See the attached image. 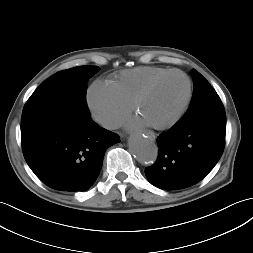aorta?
<instances>
[{
  "label": "aorta",
  "instance_id": "aorta-1",
  "mask_svg": "<svg viewBox=\"0 0 253 253\" xmlns=\"http://www.w3.org/2000/svg\"><path fill=\"white\" fill-rule=\"evenodd\" d=\"M129 148L134 157L142 164H153L158 156V147L149 136L133 135L129 140Z\"/></svg>",
  "mask_w": 253,
  "mask_h": 253
}]
</instances>
